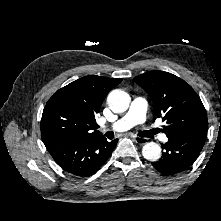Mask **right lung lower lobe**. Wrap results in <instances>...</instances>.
Wrapping results in <instances>:
<instances>
[{
  "label": "right lung lower lobe",
  "instance_id": "98d812e1",
  "mask_svg": "<svg viewBox=\"0 0 221 221\" xmlns=\"http://www.w3.org/2000/svg\"><path fill=\"white\" fill-rule=\"evenodd\" d=\"M118 139L108 142L103 135L57 139L44 143L56 163L76 176L94 174L112 154Z\"/></svg>",
  "mask_w": 221,
  "mask_h": 221
}]
</instances>
